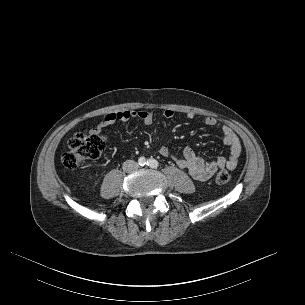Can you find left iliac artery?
<instances>
[{
	"mask_svg": "<svg viewBox=\"0 0 305 305\" xmlns=\"http://www.w3.org/2000/svg\"><path fill=\"white\" fill-rule=\"evenodd\" d=\"M147 165L150 166L151 168H157L159 166V163L155 159H149L147 161Z\"/></svg>",
	"mask_w": 305,
	"mask_h": 305,
	"instance_id": "obj_1",
	"label": "left iliac artery"
}]
</instances>
